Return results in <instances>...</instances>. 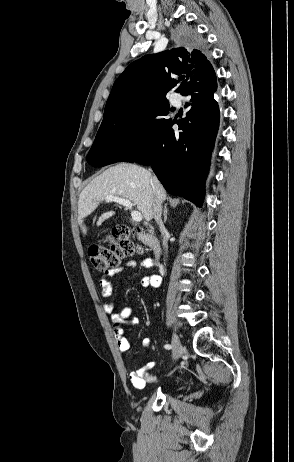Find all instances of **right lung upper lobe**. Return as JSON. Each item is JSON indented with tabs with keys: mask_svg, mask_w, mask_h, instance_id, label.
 Returning <instances> with one entry per match:
<instances>
[{
	"mask_svg": "<svg viewBox=\"0 0 294 462\" xmlns=\"http://www.w3.org/2000/svg\"><path fill=\"white\" fill-rule=\"evenodd\" d=\"M173 75H182L179 80L186 75V80L176 90L182 94L191 86L214 76L215 71L205 54L197 49L187 51L180 47L143 56L132 62L116 79L104 117L147 100L166 98V93L179 82L172 78Z\"/></svg>",
	"mask_w": 294,
	"mask_h": 462,
	"instance_id": "1",
	"label": "right lung upper lobe"
}]
</instances>
